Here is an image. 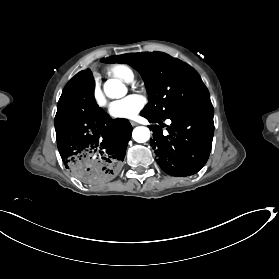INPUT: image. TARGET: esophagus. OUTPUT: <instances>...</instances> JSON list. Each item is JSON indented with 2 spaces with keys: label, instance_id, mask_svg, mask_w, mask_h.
Segmentation results:
<instances>
[{
  "label": "esophagus",
  "instance_id": "esophagus-1",
  "mask_svg": "<svg viewBox=\"0 0 279 279\" xmlns=\"http://www.w3.org/2000/svg\"><path fill=\"white\" fill-rule=\"evenodd\" d=\"M130 123H131L133 126L138 125V123H137V122H135V121H130Z\"/></svg>",
  "mask_w": 279,
  "mask_h": 279
}]
</instances>
